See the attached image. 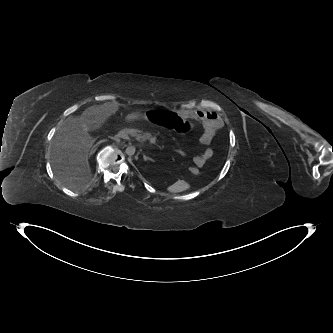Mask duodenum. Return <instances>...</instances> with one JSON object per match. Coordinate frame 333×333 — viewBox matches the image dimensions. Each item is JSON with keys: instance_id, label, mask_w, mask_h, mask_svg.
I'll return each mask as SVG.
<instances>
[{"instance_id": "obj_1", "label": "duodenum", "mask_w": 333, "mask_h": 333, "mask_svg": "<svg viewBox=\"0 0 333 333\" xmlns=\"http://www.w3.org/2000/svg\"><path fill=\"white\" fill-rule=\"evenodd\" d=\"M139 133V130L138 129H131V128H125L123 130H119L116 134L118 136H124V135H127V134H138Z\"/></svg>"}]
</instances>
